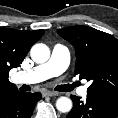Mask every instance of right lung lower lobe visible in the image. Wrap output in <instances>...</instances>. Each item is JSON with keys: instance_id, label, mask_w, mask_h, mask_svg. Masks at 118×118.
Instances as JSON below:
<instances>
[{"instance_id": "98d812e1", "label": "right lung lower lobe", "mask_w": 118, "mask_h": 118, "mask_svg": "<svg viewBox=\"0 0 118 118\" xmlns=\"http://www.w3.org/2000/svg\"><path fill=\"white\" fill-rule=\"evenodd\" d=\"M41 93L14 92L0 97V118H30Z\"/></svg>"}]
</instances>
